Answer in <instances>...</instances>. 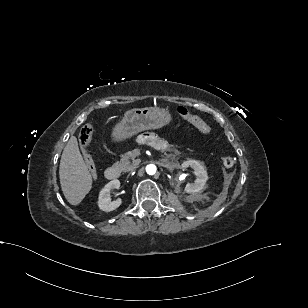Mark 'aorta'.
Here are the masks:
<instances>
[{"label":"aorta","instance_id":"762f6f07","mask_svg":"<svg viewBox=\"0 0 308 308\" xmlns=\"http://www.w3.org/2000/svg\"><path fill=\"white\" fill-rule=\"evenodd\" d=\"M156 166L154 164H149L146 166V172L149 175H154L156 173Z\"/></svg>","mask_w":308,"mask_h":308}]
</instances>
